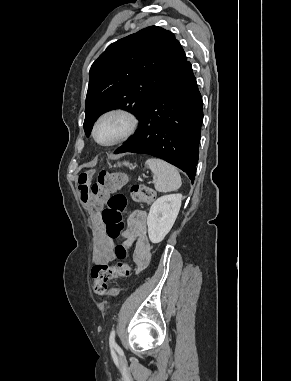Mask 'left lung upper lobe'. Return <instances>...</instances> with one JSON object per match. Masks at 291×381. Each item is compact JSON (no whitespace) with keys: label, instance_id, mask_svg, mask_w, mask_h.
Segmentation results:
<instances>
[{"label":"left lung upper lobe","instance_id":"1","mask_svg":"<svg viewBox=\"0 0 291 381\" xmlns=\"http://www.w3.org/2000/svg\"><path fill=\"white\" fill-rule=\"evenodd\" d=\"M186 55L172 32L150 26L112 44L92 64L85 101L84 130L121 108L138 118L148 100L178 70Z\"/></svg>","mask_w":291,"mask_h":381}]
</instances>
